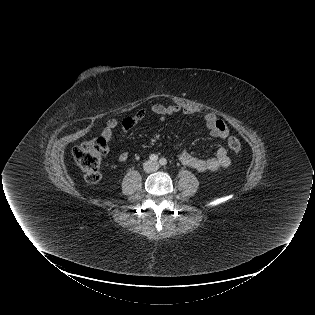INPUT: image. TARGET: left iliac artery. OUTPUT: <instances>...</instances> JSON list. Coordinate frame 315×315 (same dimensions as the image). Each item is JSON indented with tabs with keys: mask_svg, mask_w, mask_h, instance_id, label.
Segmentation results:
<instances>
[{
	"mask_svg": "<svg viewBox=\"0 0 315 315\" xmlns=\"http://www.w3.org/2000/svg\"><path fill=\"white\" fill-rule=\"evenodd\" d=\"M159 163H160V165H166L167 164V160L165 159V158H161L160 160H159Z\"/></svg>",
	"mask_w": 315,
	"mask_h": 315,
	"instance_id": "44dca946",
	"label": "left iliac artery"
}]
</instances>
